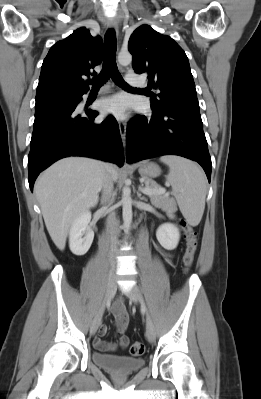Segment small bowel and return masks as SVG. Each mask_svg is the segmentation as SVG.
Returning <instances> with one entry per match:
<instances>
[{
    "mask_svg": "<svg viewBox=\"0 0 261 399\" xmlns=\"http://www.w3.org/2000/svg\"><path fill=\"white\" fill-rule=\"evenodd\" d=\"M169 257L168 254H166ZM112 313L116 321V328L118 339L116 342H107L103 337L107 334V326L101 325L98 330V335L94 339V345L97 349L104 352H112L117 349H125L129 345V339L126 335V330L129 325V316L122 303H116L112 308Z\"/></svg>",
    "mask_w": 261,
    "mask_h": 399,
    "instance_id": "1",
    "label": "small bowel"
}]
</instances>
